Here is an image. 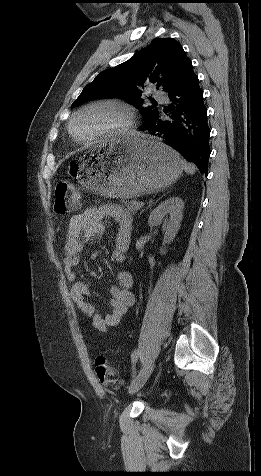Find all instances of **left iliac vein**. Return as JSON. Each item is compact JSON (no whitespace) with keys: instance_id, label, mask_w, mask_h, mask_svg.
Masks as SVG:
<instances>
[{"instance_id":"1","label":"left iliac vein","mask_w":261,"mask_h":476,"mask_svg":"<svg viewBox=\"0 0 261 476\" xmlns=\"http://www.w3.org/2000/svg\"><path fill=\"white\" fill-rule=\"evenodd\" d=\"M154 369V364L148 363L143 366L138 375L132 380L129 386V393L134 394L139 391L146 383Z\"/></svg>"}]
</instances>
